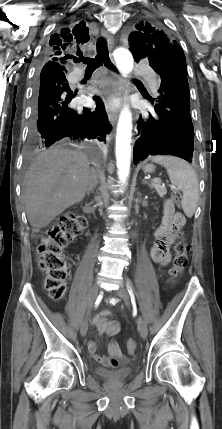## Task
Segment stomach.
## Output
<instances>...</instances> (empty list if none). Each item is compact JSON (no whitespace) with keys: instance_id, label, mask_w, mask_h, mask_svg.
Here are the masks:
<instances>
[{"instance_id":"1","label":"stomach","mask_w":222,"mask_h":429,"mask_svg":"<svg viewBox=\"0 0 222 429\" xmlns=\"http://www.w3.org/2000/svg\"><path fill=\"white\" fill-rule=\"evenodd\" d=\"M154 170H155V166H154L153 164H146V165L143 167V171H144L145 173H152V172H154Z\"/></svg>"}]
</instances>
